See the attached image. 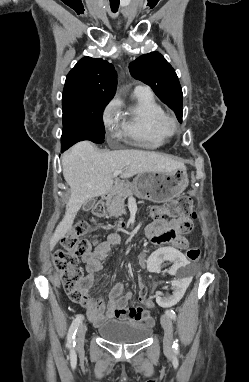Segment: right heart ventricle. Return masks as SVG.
I'll return each mask as SVG.
<instances>
[{
	"mask_svg": "<svg viewBox=\"0 0 249 382\" xmlns=\"http://www.w3.org/2000/svg\"><path fill=\"white\" fill-rule=\"evenodd\" d=\"M165 114L151 91L135 90L131 103L123 111L117 134L140 147H161L171 137L164 124Z\"/></svg>",
	"mask_w": 249,
	"mask_h": 382,
	"instance_id": "e07e8e85",
	"label": "right heart ventricle"
}]
</instances>
